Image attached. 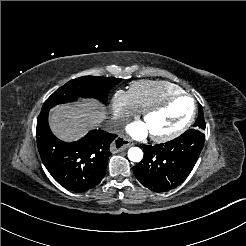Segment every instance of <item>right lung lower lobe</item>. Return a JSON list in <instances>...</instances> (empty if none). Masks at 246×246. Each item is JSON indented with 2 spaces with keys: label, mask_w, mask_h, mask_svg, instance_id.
I'll use <instances>...</instances> for the list:
<instances>
[{
  "label": "right lung lower lobe",
  "mask_w": 246,
  "mask_h": 246,
  "mask_svg": "<svg viewBox=\"0 0 246 246\" xmlns=\"http://www.w3.org/2000/svg\"><path fill=\"white\" fill-rule=\"evenodd\" d=\"M49 110H41L37 119V144L41 159L52 177L66 189L83 192L104 177L111 152L110 143L117 135L92 130L79 141L57 139L48 125Z\"/></svg>",
  "instance_id": "right-lung-lower-lobe-1"
}]
</instances>
